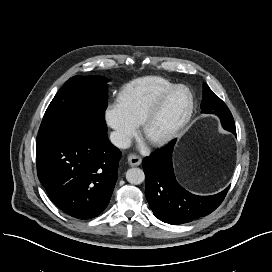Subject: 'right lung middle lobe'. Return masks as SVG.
Segmentation results:
<instances>
[{"instance_id":"obj_1","label":"right lung middle lobe","mask_w":272,"mask_h":272,"mask_svg":"<svg viewBox=\"0 0 272 272\" xmlns=\"http://www.w3.org/2000/svg\"><path fill=\"white\" fill-rule=\"evenodd\" d=\"M107 82L101 76H74L67 80L48 106L38 136L74 130L107 132Z\"/></svg>"}]
</instances>
